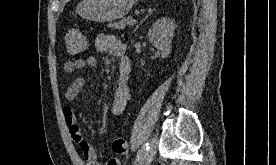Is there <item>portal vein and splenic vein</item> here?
Here are the masks:
<instances>
[{
  "mask_svg": "<svg viewBox=\"0 0 276 165\" xmlns=\"http://www.w3.org/2000/svg\"><path fill=\"white\" fill-rule=\"evenodd\" d=\"M130 25H133L136 23V20L135 19H130L129 22H128Z\"/></svg>",
  "mask_w": 276,
  "mask_h": 165,
  "instance_id": "1",
  "label": "portal vein and splenic vein"
}]
</instances>
